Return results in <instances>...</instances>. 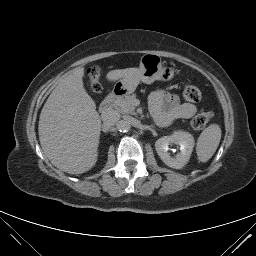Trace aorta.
Wrapping results in <instances>:
<instances>
[{
  "label": "aorta",
  "mask_w": 256,
  "mask_h": 256,
  "mask_svg": "<svg viewBox=\"0 0 256 256\" xmlns=\"http://www.w3.org/2000/svg\"><path fill=\"white\" fill-rule=\"evenodd\" d=\"M117 128L121 132H128L131 129V122L129 120H121L117 123Z\"/></svg>",
  "instance_id": "1"
}]
</instances>
